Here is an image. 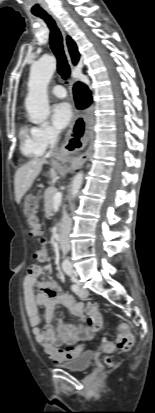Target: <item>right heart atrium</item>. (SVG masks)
Returning <instances> with one entry per match:
<instances>
[{
	"label": "right heart atrium",
	"instance_id": "1",
	"mask_svg": "<svg viewBox=\"0 0 155 413\" xmlns=\"http://www.w3.org/2000/svg\"><path fill=\"white\" fill-rule=\"evenodd\" d=\"M33 135L37 145L43 152L56 144L59 138V133L48 123L33 127Z\"/></svg>",
	"mask_w": 155,
	"mask_h": 413
}]
</instances>
